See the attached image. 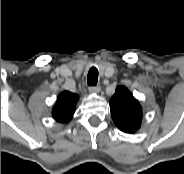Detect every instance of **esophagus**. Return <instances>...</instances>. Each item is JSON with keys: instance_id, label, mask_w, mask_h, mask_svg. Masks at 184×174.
Masks as SVG:
<instances>
[{"instance_id": "esophagus-1", "label": "esophagus", "mask_w": 184, "mask_h": 174, "mask_svg": "<svg viewBox=\"0 0 184 174\" xmlns=\"http://www.w3.org/2000/svg\"><path fill=\"white\" fill-rule=\"evenodd\" d=\"M89 91L91 93H99L101 91V87L100 86H90Z\"/></svg>"}]
</instances>
